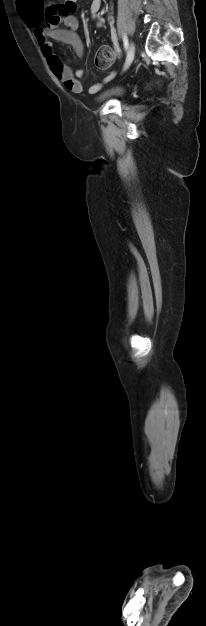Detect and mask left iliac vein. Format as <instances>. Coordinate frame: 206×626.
I'll return each mask as SVG.
<instances>
[{"label":"left iliac vein","instance_id":"obj_1","mask_svg":"<svg viewBox=\"0 0 206 626\" xmlns=\"http://www.w3.org/2000/svg\"><path fill=\"white\" fill-rule=\"evenodd\" d=\"M135 56V45L133 43L130 44L129 50L126 56V61L123 70L125 71L131 65Z\"/></svg>","mask_w":206,"mask_h":626}]
</instances>
